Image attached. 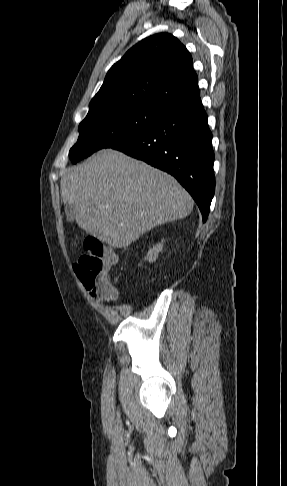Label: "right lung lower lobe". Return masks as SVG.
<instances>
[{
  "label": "right lung lower lobe",
  "instance_id": "1",
  "mask_svg": "<svg viewBox=\"0 0 287 486\" xmlns=\"http://www.w3.org/2000/svg\"><path fill=\"white\" fill-rule=\"evenodd\" d=\"M112 148L173 175L207 220L215 190L214 152L200 96L169 109L142 133Z\"/></svg>",
  "mask_w": 287,
  "mask_h": 486
}]
</instances>
